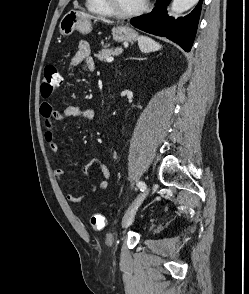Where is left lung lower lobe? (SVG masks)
<instances>
[{"label": "left lung lower lobe", "instance_id": "left-lung-lower-lobe-1", "mask_svg": "<svg viewBox=\"0 0 249 294\" xmlns=\"http://www.w3.org/2000/svg\"><path fill=\"white\" fill-rule=\"evenodd\" d=\"M171 0H157L156 6L151 13L136 17L131 20L133 26L148 33L164 36L176 42L185 51L189 52L198 27L202 0L195 9L182 18L168 17L166 6Z\"/></svg>", "mask_w": 249, "mask_h": 294}]
</instances>
